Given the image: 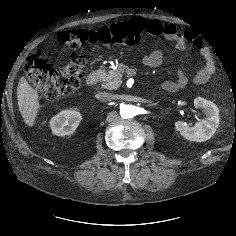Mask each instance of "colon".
Masks as SVG:
<instances>
[{
    "label": "colon",
    "mask_w": 236,
    "mask_h": 236,
    "mask_svg": "<svg viewBox=\"0 0 236 236\" xmlns=\"http://www.w3.org/2000/svg\"><path fill=\"white\" fill-rule=\"evenodd\" d=\"M145 30V22L140 19L118 22L109 27L98 29H72L58 35L61 43L73 50L90 44H119L132 46L136 44ZM85 59L81 55L74 56L67 65L54 68L36 55L28 58L25 74L34 89L54 100L73 93L80 85Z\"/></svg>",
    "instance_id": "colon-1"
}]
</instances>
